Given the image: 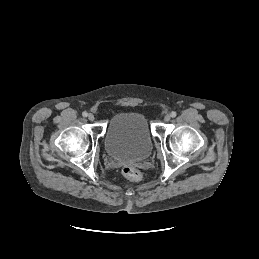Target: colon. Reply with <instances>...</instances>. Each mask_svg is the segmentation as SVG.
<instances>
[{
  "instance_id": "obj_1",
  "label": "colon",
  "mask_w": 259,
  "mask_h": 259,
  "mask_svg": "<svg viewBox=\"0 0 259 259\" xmlns=\"http://www.w3.org/2000/svg\"><path fill=\"white\" fill-rule=\"evenodd\" d=\"M122 174L131 181H138L141 178V173L139 170L131 166L123 167Z\"/></svg>"
}]
</instances>
